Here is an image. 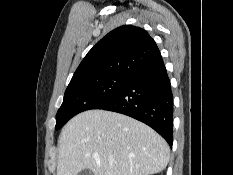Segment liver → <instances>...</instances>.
I'll return each mask as SVG.
<instances>
[{"label": "liver", "instance_id": "obj_1", "mask_svg": "<svg viewBox=\"0 0 233 175\" xmlns=\"http://www.w3.org/2000/svg\"><path fill=\"white\" fill-rule=\"evenodd\" d=\"M57 175H150L163 171L170 149L152 128L129 116L88 110L73 117L59 136Z\"/></svg>", "mask_w": 233, "mask_h": 175}]
</instances>
